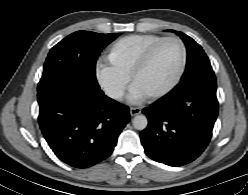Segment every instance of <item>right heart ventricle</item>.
<instances>
[{
  "instance_id": "1",
  "label": "right heart ventricle",
  "mask_w": 248,
  "mask_h": 195,
  "mask_svg": "<svg viewBox=\"0 0 248 195\" xmlns=\"http://www.w3.org/2000/svg\"><path fill=\"white\" fill-rule=\"evenodd\" d=\"M165 38L159 35H145L128 39L114 50L111 65L119 74L129 77L151 50Z\"/></svg>"
}]
</instances>
